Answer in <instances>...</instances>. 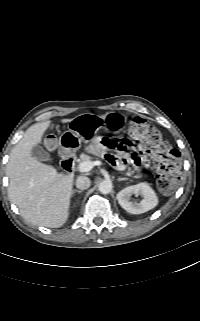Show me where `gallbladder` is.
<instances>
[{"mask_svg": "<svg viewBox=\"0 0 200 321\" xmlns=\"http://www.w3.org/2000/svg\"><path fill=\"white\" fill-rule=\"evenodd\" d=\"M32 156L38 161H50L51 155L41 146H35L32 149Z\"/></svg>", "mask_w": 200, "mask_h": 321, "instance_id": "gallbladder-1", "label": "gallbladder"}]
</instances>
